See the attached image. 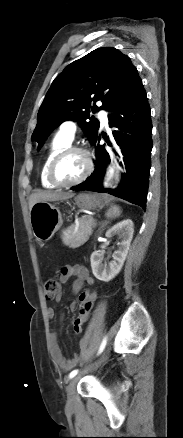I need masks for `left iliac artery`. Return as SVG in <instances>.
Instances as JSON below:
<instances>
[{"instance_id": "44dca946", "label": "left iliac artery", "mask_w": 183, "mask_h": 438, "mask_svg": "<svg viewBox=\"0 0 183 438\" xmlns=\"http://www.w3.org/2000/svg\"><path fill=\"white\" fill-rule=\"evenodd\" d=\"M106 343H107V338L105 337V338L103 339L102 343H101L100 348H99V352H98L99 354L104 350V348H105V346H106ZM77 373H78V370H73V371L69 374V378L71 379V378L75 377V376L77 375Z\"/></svg>"}]
</instances>
